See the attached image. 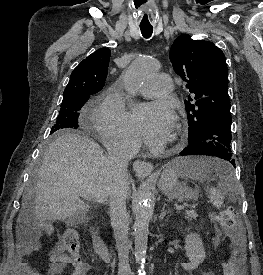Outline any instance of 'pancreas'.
<instances>
[{
	"instance_id": "cf45deb5",
	"label": "pancreas",
	"mask_w": 263,
	"mask_h": 275,
	"mask_svg": "<svg viewBox=\"0 0 263 275\" xmlns=\"http://www.w3.org/2000/svg\"><path fill=\"white\" fill-rule=\"evenodd\" d=\"M198 214L194 210H187L185 214L186 219H196Z\"/></svg>"
}]
</instances>
